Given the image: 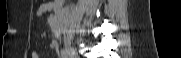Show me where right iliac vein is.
Instances as JSON below:
<instances>
[{
	"instance_id": "obj_1",
	"label": "right iliac vein",
	"mask_w": 181,
	"mask_h": 58,
	"mask_svg": "<svg viewBox=\"0 0 181 58\" xmlns=\"http://www.w3.org/2000/svg\"><path fill=\"white\" fill-rule=\"evenodd\" d=\"M65 45V51L67 53L68 58H77V54L74 50V48L70 45L69 41L67 39L64 40Z\"/></svg>"
}]
</instances>
